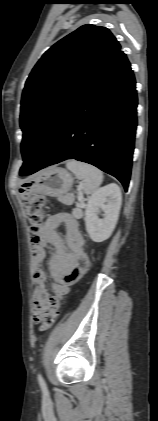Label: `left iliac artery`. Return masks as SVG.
<instances>
[{
	"label": "left iliac artery",
	"mask_w": 158,
	"mask_h": 421,
	"mask_svg": "<svg viewBox=\"0 0 158 421\" xmlns=\"http://www.w3.org/2000/svg\"><path fill=\"white\" fill-rule=\"evenodd\" d=\"M38 382H39V385L42 388V390L45 391L47 389V387H46V383H45L41 374H38Z\"/></svg>",
	"instance_id": "44dca946"
}]
</instances>
